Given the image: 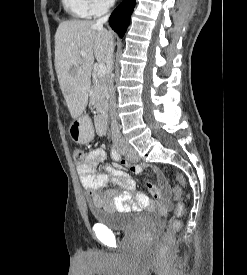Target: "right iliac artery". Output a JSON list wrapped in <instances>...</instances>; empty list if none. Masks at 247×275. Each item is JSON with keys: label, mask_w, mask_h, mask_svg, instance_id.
<instances>
[{"label": "right iliac artery", "mask_w": 247, "mask_h": 275, "mask_svg": "<svg viewBox=\"0 0 247 275\" xmlns=\"http://www.w3.org/2000/svg\"><path fill=\"white\" fill-rule=\"evenodd\" d=\"M111 157L115 160V161H118L119 159H120V154H119V152L116 150V149H114V148H112V150H111Z\"/></svg>", "instance_id": "82829eb1"}]
</instances>
